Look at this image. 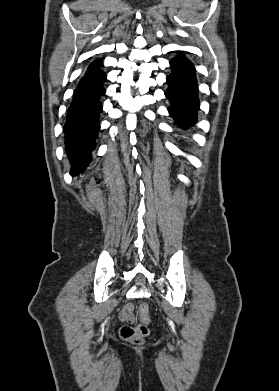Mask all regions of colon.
<instances>
[{
	"label": "colon",
	"mask_w": 279,
	"mask_h": 391,
	"mask_svg": "<svg viewBox=\"0 0 279 391\" xmlns=\"http://www.w3.org/2000/svg\"><path fill=\"white\" fill-rule=\"evenodd\" d=\"M140 323L136 326L124 325L119 330V336L125 341L134 344H141L149 334L148 324L150 322L149 306L143 303L139 306Z\"/></svg>",
	"instance_id": "1"
}]
</instances>
